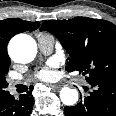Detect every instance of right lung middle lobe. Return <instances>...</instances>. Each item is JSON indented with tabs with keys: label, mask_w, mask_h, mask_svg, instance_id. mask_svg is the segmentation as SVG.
<instances>
[{
	"label": "right lung middle lobe",
	"mask_w": 116,
	"mask_h": 116,
	"mask_svg": "<svg viewBox=\"0 0 116 116\" xmlns=\"http://www.w3.org/2000/svg\"><path fill=\"white\" fill-rule=\"evenodd\" d=\"M9 65L10 63L4 68H0V98L4 97V95L8 92L6 91L8 83L6 82L5 75L9 70Z\"/></svg>",
	"instance_id": "right-lung-middle-lobe-1"
}]
</instances>
